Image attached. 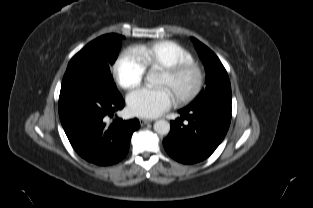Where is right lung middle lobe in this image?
Returning a JSON list of instances; mask_svg holds the SVG:
<instances>
[{
	"label": "right lung middle lobe",
	"instance_id": "right-lung-middle-lobe-1",
	"mask_svg": "<svg viewBox=\"0 0 313 208\" xmlns=\"http://www.w3.org/2000/svg\"><path fill=\"white\" fill-rule=\"evenodd\" d=\"M122 38L107 34L87 44L71 59L63 79L73 75L100 85L109 94H120L110 68L118 56Z\"/></svg>",
	"mask_w": 313,
	"mask_h": 208
}]
</instances>
